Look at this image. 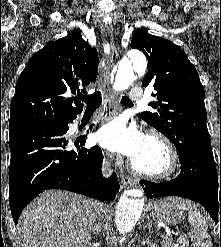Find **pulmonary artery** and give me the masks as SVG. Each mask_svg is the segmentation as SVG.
<instances>
[{"instance_id": "obj_1", "label": "pulmonary artery", "mask_w": 221, "mask_h": 247, "mask_svg": "<svg viewBox=\"0 0 221 247\" xmlns=\"http://www.w3.org/2000/svg\"><path fill=\"white\" fill-rule=\"evenodd\" d=\"M143 97V92L139 88L132 89L130 92V98L132 100H141Z\"/></svg>"}]
</instances>
